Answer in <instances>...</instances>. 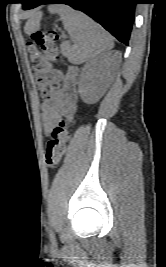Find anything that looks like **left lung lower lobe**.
Instances as JSON below:
<instances>
[{
    "label": "left lung lower lobe",
    "instance_id": "1",
    "mask_svg": "<svg viewBox=\"0 0 166 267\" xmlns=\"http://www.w3.org/2000/svg\"><path fill=\"white\" fill-rule=\"evenodd\" d=\"M24 9H32L44 3H63L80 10L128 45L137 0H23Z\"/></svg>",
    "mask_w": 166,
    "mask_h": 267
}]
</instances>
